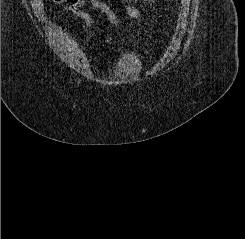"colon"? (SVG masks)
Instances as JSON below:
<instances>
[{"label": "colon", "mask_w": 245, "mask_h": 239, "mask_svg": "<svg viewBox=\"0 0 245 239\" xmlns=\"http://www.w3.org/2000/svg\"><path fill=\"white\" fill-rule=\"evenodd\" d=\"M56 2L60 3V2H65V3H68V4H71L73 2H75V0H55ZM139 0H125V2H128V3H134V2H137ZM144 2H148L150 0H142Z\"/></svg>", "instance_id": "1"}]
</instances>
